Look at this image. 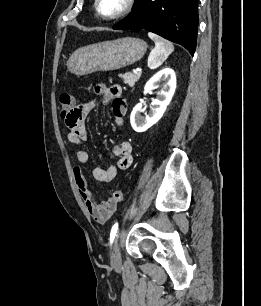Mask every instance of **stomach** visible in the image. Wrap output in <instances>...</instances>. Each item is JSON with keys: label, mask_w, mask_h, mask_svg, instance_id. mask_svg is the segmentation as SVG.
Listing matches in <instances>:
<instances>
[{"label": "stomach", "mask_w": 261, "mask_h": 306, "mask_svg": "<svg viewBox=\"0 0 261 306\" xmlns=\"http://www.w3.org/2000/svg\"><path fill=\"white\" fill-rule=\"evenodd\" d=\"M146 50L147 43L135 37L104 41L77 49L67 61V68L76 75L113 71L139 61Z\"/></svg>", "instance_id": "0dacf381"}]
</instances>
